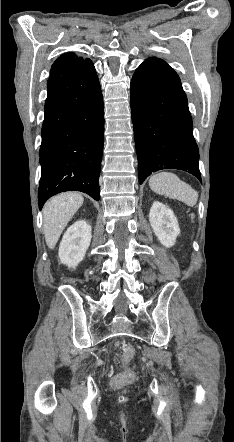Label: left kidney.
Here are the masks:
<instances>
[{
    "label": "left kidney",
    "instance_id": "1",
    "mask_svg": "<svg viewBox=\"0 0 234 442\" xmlns=\"http://www.w3.org/2000/svg\"><path fill=\"white\" fill-rule=\"evenodd\" d=\"M149 222L162 245L172 247L180 234L178 220L173 211L155 201L150 209Z\"/></svg>",
    "mask_w": 234,
    "mask_h": 442
}]
</instances>
